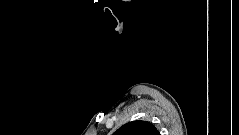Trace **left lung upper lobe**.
Segmentation results:
<instances>
[{
    "label": "left lung upper lobe",
    "instance_id": "5c2ea615",
    "mask_svg": "<svg viewBox=\"0 0 239 135\" xmlns=\"http://www.w3.org/2000/svg\"><path fill=\"white\" fill-rule=\"evenodd\" d=\"M113 135H160V133L151 123L138 120L124 124Z\"/></svg>",
    "mask_w": 239,
    "mask_h": 135
}]
</instances>
